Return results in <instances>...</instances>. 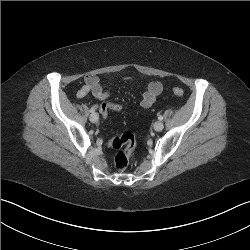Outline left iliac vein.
Wrapping results in <instances>:
<instances>
[{
    "label": "left iliac vein",
    "instance_id": "4c4485c4",
    "mask_svg": "<svg viewBox=\"0 0 250 250\" xmlns=\"http://www.w3.org/2000/svg\"><path fill=\"white\" fill-rule=\"evenodd\" d=\"M155 131H161L164 128V124L160 121H157L153 125Z\"/></svg>",
    "mask_w": 250,
    "mask_h": 250
}]
</instances>
